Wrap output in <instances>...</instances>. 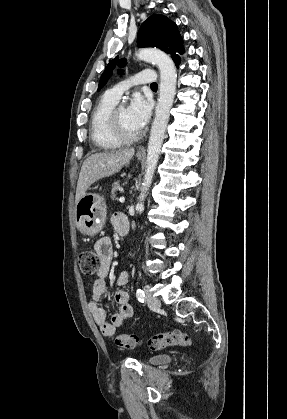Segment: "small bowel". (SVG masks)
<instances>
[{"label": "small bowel", "mask_w": 287, "mask_h": 419, "mask_svg": "<svg viewBox=\"0 0 287 419\" xmlns=\"http://www.w3.org/2000/svg\"><path fill=\"white\" fill-rule=\"evenodd\" d=\"M112 224L115 230H118L124 224H128L127 218L123 214H115L112 217ZM96 253L101 259V265L97 272V279L93 284L92 301L89 303L88 308L91 312L94 321L98 325L100 331L105 336H114L117 333L124 321L133 315V307L130 304L129 294L126 291H117L114 295V299L118 305V310L111 316V321L107 320L106 311L102 308L98 302L103 299L108 292V288L105 282L112 256L113 249L111 240L108 237L100 238L94 245ZM130 275L127 271H122L117 278V284L122 286L129 282Z\"/></svg>", "instance_id": "small-bowel-1"}]
</instances>
